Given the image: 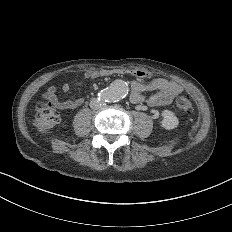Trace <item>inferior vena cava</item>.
Segmentation results:
<instances>
[{
    "instance_id": "inferior-vena-cava-1",
    "label": "inferior vena cava",
    "mask_w": 232,
    "mask_h": 232,
    "mask_svg": "<svg viewBox=\"0 0 232 232\" xmlns=\"http://www.w3.org/2000/svg\"><path fill=\"white\" fill-rule=\"evenodd\" d=\"M89 107L93 111H98L102 107V102H97L95 98L91 99L89 102Z\"/></svg>"
}]
</instances>
